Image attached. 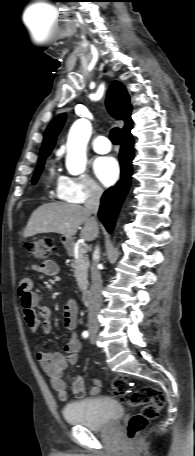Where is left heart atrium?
Returning <instances> with one entry per match:
<instances>
[{"instance_id": "left-heart-atrium-1", "label": "left heart atrium", "mask_w": 195, "mask_h": 456, "mask_svg": "<svg viewBox=\"0 0 195 456\" xmlns=\"http://www.w3.org/2000/svg\"><path fill=\"white\" fill-rule=\"evenodd\" d=\"M93 171L103 185L110 186L119 176V165L113 157H100L94 161Z\"/></svg>"}]
</instances>
